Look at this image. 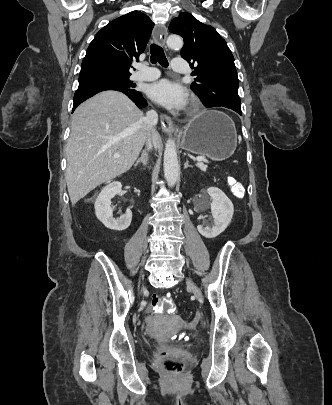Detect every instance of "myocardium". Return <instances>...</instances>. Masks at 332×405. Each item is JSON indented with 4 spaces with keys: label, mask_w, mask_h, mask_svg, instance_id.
<instances>
[{
    "label": "myocardium",
    "mask_w": 332,
    "mask_h": 405,
    "mask_svg": "<svg viewBox=\"0 0 332 405\" xmlns=\"http://www.w3.org/2000/svg\"><path fill=\"white\" fill-rule=\"evenodd\" d=\"M198 110V103L195 99H191L189 103V107L187 109L188 113H194Z\"/></svg>",
    "instance_id": "1"
}]
</instances>
